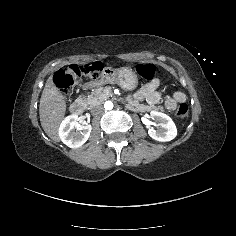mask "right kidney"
<instances>
[{
  "mask_svg": "<svg viewBox=\"0 0 236 236\" xmlns=\"http://www.w3.org/2000/svg\"><path fill=\"white\" fill-rule=\"evenodd\" d=\"M77 119V115H70L62 121L59 127L60 139L70 148L81 147L88 140L92 130L91 125H81Z\"/></svg>",
  "mask_w": 236,
  "mask_h": 236,
  "instance_id": "obj_1",
  "label": "right kidney"
}]
</instances>
